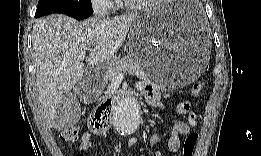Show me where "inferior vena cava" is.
Instances as JSON below:
<instances>
[{"mask_svg":"<svg viewBox=\"0 0 261 156\" xmlns=\"http://www.w3.org/2000/svg\"><path fill=\"white\" fill-rule=\"evenodd\" d=\"M94 13L98 16V18H104L106 15L109 14L108 9L103 4H95L94 5Z\"/></svg>","mask_w":261,"mask_h":156,"instance_id":"602c4592","label":"inferior vena cava"}]
</instances>
